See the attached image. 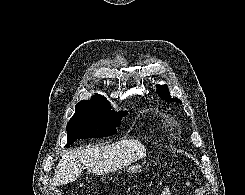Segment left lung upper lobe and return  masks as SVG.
<instances>
[{
  "label": "left lung upper lobe",
  "mask_w": 245,
  "mask_h": 195,
  "mask_svg": "<svg viewBox=\"0 0 245 195\" xmlns=\"http://www.w3.org/2000/svg\"><path fill=\"white\" fill-rule=\"evenodd\" d=\"M157 93H158V95L161 98H163L165 100H169V101H172V102H180L181 103V100L176 99V98H171L170 93H169V90L166 87V85L158 86Z\"/></svg>",
  "instance_id": "left-lung-upper-lobe-1"
}]
</instances>
